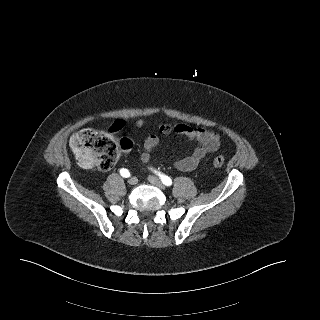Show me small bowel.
Listing matches in <instances>:
<instances>
[{
    "mask_svg": "<svg viewBox=\"0 0 320 320\" xmlns=\"http://www.w3.org/2000/svg\"><path fill=\"white\" fill-rule=\"evenodd\" d=\"M144 123L145 122L143 119H138L135 122V126L140 129L144 126ZM116 124H119L118 130H120L123 123L121 121H118L116 122ZM159 132L163 136H166L172 132H176L178 134L186 136L191 140H195L198 143L197 147L191 155L180 158L175 162V168L183 172L195 170L206 155L217 151L220 146V137L216 132L200 127H194L184 123L174 125L163 124L159 128ZM158 144L159 137L156 134H150L144 139V151L141 154L140 158L143 164L149 163L151 154L158 146Z\"/></svg>",
    "mask_w": 320,
    "mask_h": 320,
    "instance_id": "1",
    "label": "small bowel"
}]
</instances>
